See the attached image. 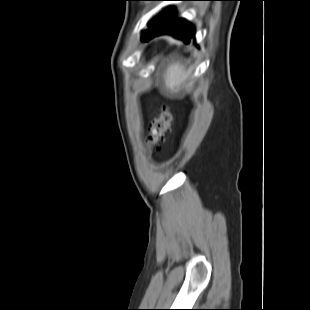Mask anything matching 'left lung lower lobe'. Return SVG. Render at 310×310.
<instances>
[{
	"label": "left lung lower lobe",
	"instance_id": "1",
	"mask_svg": "<svg viewBox=\"0 0 310 310\" xmlns=\"http://www.w3.org/2000/svg\"><path fill=\"white\" fill-rule=\"evenodd\" d=\"M193 33V29L188 23L175 19L170 25L151 33L144 39V41H148L157 35L170 34L184 40L185 42H189L193 36Z\"/></svg>",
	"mask_w": 310,
	"mask_h": 310
}]
</instances>
